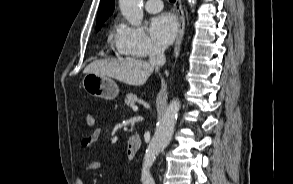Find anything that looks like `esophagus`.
<instances>
[{
    "label": "esophagus",
    "instance_id": "esophagus-1",
    "mask_svg": "<svg viewBox=\"0 0 293 184\" xmlns=\"http://www.w3.org/2000/svg\"><path fill=\"white\" fill-rule=\"evenodd\" d=\"M175 9L179 18V32H178V36L174 45L173 56L175 59H177L180 53V48H181V44H182V40H183L184 32H185V15H184L181 0H176Z\"/></svg>",
    "mask_w": 293,
    "mask_h": 184
}]
</instances>
